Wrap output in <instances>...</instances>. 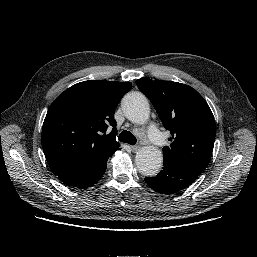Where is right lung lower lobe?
I'll return each mask as SVG.
<instances>
[{
	"instance_id": "98d812e1",
	"label": "right lung lower lobe",
	"mask_w": 257,
	"mask_h": 257,
	"mask_svg": "<svg viewBox=\"0 0 257 257\" xmlns=\"http://www.w3.org/2000/svg\"><path fill=\"white\" fill-rule=\"evenodd\" d=\"M106 167H107V162L102 166L100 170H98L96 173H94L93 175H91L90 177H88L87 179H85L84 181H82L80 184L76 186L79 187L80 189H84L95 184L104 175Z\"/></svg>"
}]
</instances>
